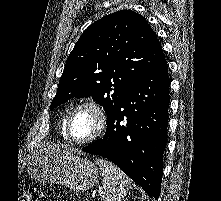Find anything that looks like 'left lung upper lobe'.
Wrapping results in <instances>:
<instances>
[{"label": "left lung upper lobe", "instance_id": "left-lung-upper-lobe-1", "mask_svg": "<svg viewBox=\"0 0 221 201\" xmlns=\"http://www.w3.org/2000/svg\"><path fill=\"white\" fill-rule=\"evenodd\" d=\"M165 56L145 18L122 10L91 24L67 58L50 109L74 97L100 103L107 122L126 94Z\"/></svg>", "mask_w": 221, "mask_h": 201}]
</instances>
